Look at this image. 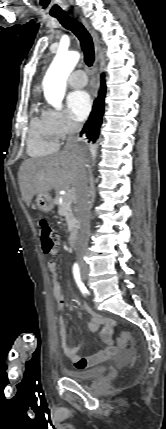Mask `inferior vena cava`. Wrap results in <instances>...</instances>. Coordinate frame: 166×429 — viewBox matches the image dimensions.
<instances>
[{"label":"inferior vena cava","instance_id":"602c4592","mask_svg":"<svg viewBox=\"0 0 166 429\" xmlns=\"http://www.w3.org/2000/svg\"><path fill=\"white\" fill-rule=\"evenodd\" d=\"M67 141L65 150L78 152L79 132L81 125L76 122L67 123ZM86 163L82 166L77 183V205L80 221V232L78 242L75 248L76 257L82 262L83 255L87 249L90 234V191L88 188V172Z\"/></svg>","mask_w":166,"mask_h":429}]
</instances>
